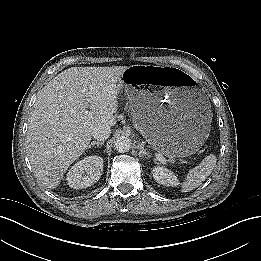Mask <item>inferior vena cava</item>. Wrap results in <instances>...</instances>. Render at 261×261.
<instances>
[{
    "label": "inferior vena cava",
    "mask_w": 261,
    "mask_h": 261,
    "mask_svg": "<svg viewBox=\"0 0 261 261\" xmlns=\"http://www.w3.org/2000/svg\"><path fill=\"white\" fill-rule=\"evenodd\" d=\"M111 133L110 127L106 126V125H100L98 127H96L93 132H92V136L94 137V139H96L97 141H104L106 139L109 138Z\"/></svg>",
    "instance_id": "1"
}]
</instances>
